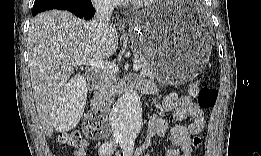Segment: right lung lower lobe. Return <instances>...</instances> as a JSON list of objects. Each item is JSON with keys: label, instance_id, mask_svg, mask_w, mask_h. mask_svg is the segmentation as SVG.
Segmentation results:
<instances>
[{"label": "right lung lower lobe", "instance_id": "1", "mask_svg": "<svg viewBox=\"0 0 261 156\" xmlns=\"http://www.w3.org/2000/svg\"><path fill=\"white\" fill-rule=\"evenodd\" d=\"M51 9L66 10L72 12L78 17L91 18L93 17L95 10L90 0H71L70 3L61 4L53 7L33 10L32 14L36 15L39 12Z\"/></svg>", "mask_w": 261, "mask_h": 156}]
</instances>
